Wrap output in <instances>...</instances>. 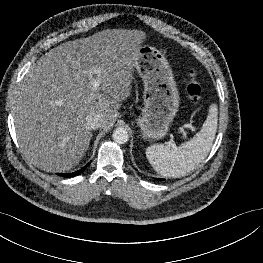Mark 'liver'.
Listing matches in <instances>:
<instances>
[{
    "label": "liver",
    "mask_w": 263,
    "mask_h": 263,
    "mask_svg": "<svg viewBox=\"0 0 263 263\" xmlns=\"http://www.w3.org/2000/svg\"><path fill=\"white\" fill-rule=\"evenodd\" d=\"M140 30L107 29L49 50L29 69L16 93L13 118L26 159L47 172L76 166L91 139L87 117L102 115L108 130L130 96ZM100 71L101 84L93 90Z\"/></svg>",
    "instance_id": "liver-1"
}]
</instances>
